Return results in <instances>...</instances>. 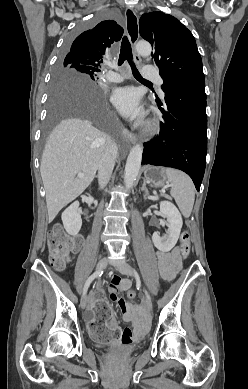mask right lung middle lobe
Listing matches in <instances>:
<instances>
[{"instance_id": "1", "label": "right lung middle lobe", "mask_w": 248, "mask_h": 389, "mask_svg": "<svg viewBox=\"0 0 248 389\" xmlns=\"http://www.w3.org/2000/svg\"><path fill=\"white\" fill-rule=\"evenodd\" d=\"M85 28L81 24L79 30ZM98 71L86 67L64 64L63 60L59 62L55 73L56 86H67L68 84L87 83L93 86ZM81 116L94 122L101 123L105 119V112L100 105L87 102L77 103L71 101H58L54 98L49 106V120L47 133L53 126L62 119Z\"/></svg>"}]
</instances>
